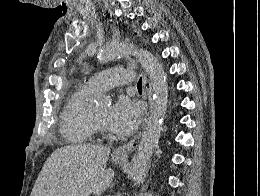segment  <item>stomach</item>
Listing matches in <instances>:
<instances>
[{"label":"stomach","instance_id":"obj_1","mask_svg":"<svg viewBox=\"0 0 260 196\" xmlns=\"http://www.w3.org/2000/svg\"><path fill=\"white\" fill-rule=\"evenodd\" d=\"M114 164H118V166H121V164H124V162H126V160H114V158H112Z\"/></svg>","mask_w":260,"mask_h":196}]
</instances>
